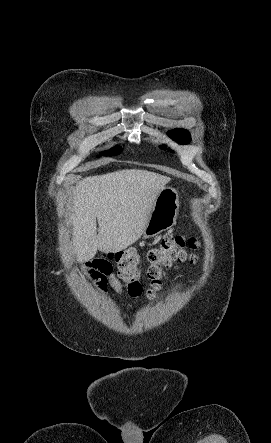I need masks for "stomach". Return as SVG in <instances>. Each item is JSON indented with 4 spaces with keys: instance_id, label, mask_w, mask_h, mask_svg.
Returning <instances> with one entry per match:
<instances>
[{
    "instance_id": "stomach-1",
    "label": "stomach",
    "mask_w": 271,
    "mask_h": 443,
    "mask_svg": "<svg viewBox=\"0 0 271 443\" xmlns=\"http://www.w3.org/2000/svg\"><path fill=\"white\" fill-rule=\"evenodd\" d=\"M179 208L180 202L177 190L175 188L161 190L142 233L144 239L145 237H154L165 229H171L172 225L176 223Z\"/></svg>"
}]
</instances>
